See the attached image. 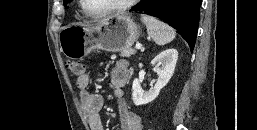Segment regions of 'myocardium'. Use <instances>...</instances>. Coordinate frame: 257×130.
Wrapping results in <instances>:
<instances>
[{
    "instance_id": "myocardium-1",
    "label": "myocardium",
    "mask_w": 257,
    "mask_h": 130,
    "mask_svg": "<svg viewBox=\"0 0 257 130\" xmlns=\"http://www.w3.org/2000/svg\"><path fill=\"white\" fill-rule=\"evenodd\" d=\"M137 1L138 0H125V1H123L122 3H120L118 5H115V6L109 8V9H107L105 11L98 12V13H94V12L89 11L86 8V6H85V0H80V6H81L83 12L86 15H88L90 17L99 18V17H104V16H107V15L116 13V12L127 10L130 7H132Z\"/></svg>"
}]
</instances>
